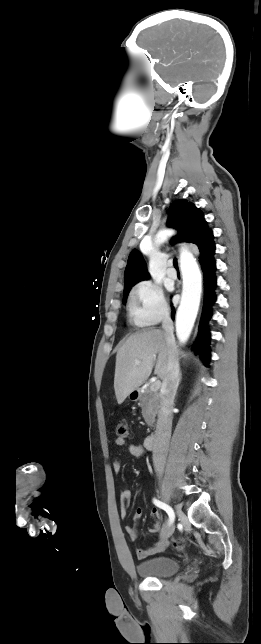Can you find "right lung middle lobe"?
<instances>
[{"mask_svg":"<svg viewBox=\"0 0 261 644\" xmlns=\"http://www.w3.org/2000/svg\"><path fill=\"white\" fill-rule=\"evenodd\" d=\"M132 286H133V285H131L129 288H127V289H125V290H124V295H123V303H124V304L126 303V299H127L128 293H129L130 288H131Z\"/></svg>","mask_w":261,"mask_h":644,"instance_id":"dd1d6c3e","label":"right lung middle lobe"}]
</instances>
